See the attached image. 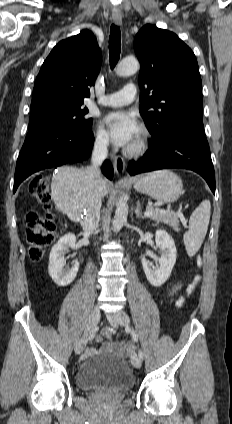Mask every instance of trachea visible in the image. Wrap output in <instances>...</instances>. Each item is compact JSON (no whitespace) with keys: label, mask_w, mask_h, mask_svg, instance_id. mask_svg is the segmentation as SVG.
<instances>
[{"label":"trachea","mask_w":232,"mask_h":424,"mask_svg":"<svg viewBox=\"0 0 232 424\" xmlns=\"http://www.w3.org/2000/svg\"><path fill=\"white\" fill-rule=\"evenodd\" d=\"M121 51V34L120 29L116 25H112L110 29V37H109V57H110V65L111 69H113L120 57Z\"/></svg>","instance_id":"obj_1"}]
</instances>
